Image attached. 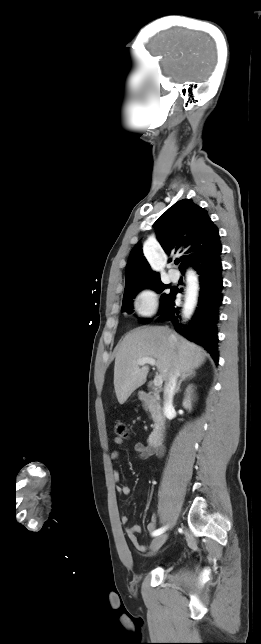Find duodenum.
<instances>
[{
    "label": "duodenum",
    "mask_w": 261,
    "mask_h": 644,
    "mask_svg": "<svg viewBox=\"0 0 261 644\" xmlns=\"http://www.w3.org/2000/svg\"><path fill=\"white\" fill-rule=\"evenodd\" d=\"M138 398L141 401L145 402L151 410L152 418L154 421V429L149 436L148 443L151 447L157 448L161 446L163 442L166 428L165 416L162 406L157 396L151 392L140 391L138 393Z\"/></svg>",
    "instance_id": "1"
}]
</instances>
